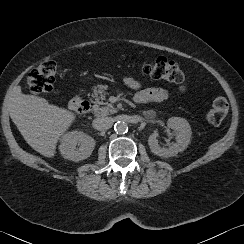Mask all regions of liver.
<instances>
[{"label":"liver","mask_w":244,"mask_h":244,"mask_svg":"<svg viewBox=\"0 0 244 244\" xmlns=\"http://www.w3.org/2000/svg\"><path fill=\"white\" fill-rule=\"evenodd\" d=\"M9 112L26 142L49 158L55 155L57 140L76 118L73 112L42 97L22 94L20 88L10 98Z\"/></svg>","instance_id":"obj_1"}]
</instances>
